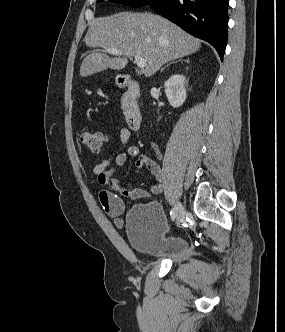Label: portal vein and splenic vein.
Wrapping results in <instances>:
<instances>
[{"mask_svg":"<svg viewBox=\"0 0 285 332\" xmlns=\"http://www.w3.org/2000/svg\"><path fill=\"white\" fill-rule=\"evenodd\" d=\"M108 52L112 55H122V53L116 48H110V49H108ZM134 58H135V62L137 64V66L140 69H144V67L146 66V60L144 58L140 57L139 55L134 56Z\"/></svg>","mask_w":285,"mask_h":332,"instance_id":"obj_1","label":"portal vein and splenic vein"}]
</instances>
